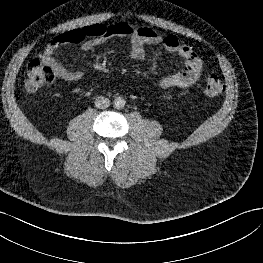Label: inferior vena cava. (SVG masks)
<instances>
[{"label": "inferior vena cava", "instance_id": "1", "mask_svg": "<svg viewBox=\"0 0 263 263\" xmlns=\"http://www.w3.org/2000/svg\"><path fill=\"white\" fill-rule=\"evenodd\" d=\"M110 106V100L106 97H97L95 100V107L99 109H105Z\"/></svg>", "mask_w": 263, "mask_h": 263}]
</instances>
